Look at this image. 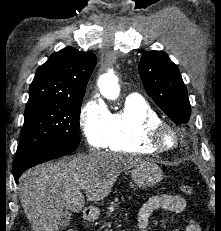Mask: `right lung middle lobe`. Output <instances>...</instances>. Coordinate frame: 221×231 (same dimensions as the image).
<instances>
[{"mask_svg":"<svg viewBox=\"0 0 221 231\" xmlns=\"http://www.w3.org/2000/svg\"><path fill=\"white\" fill-rule=\"evenodd\" d=\"M83 98L26 104L25 121L14 162L44 148H77Z\"/></svg>","mask_w":221,"mask_h":231,"instance_id":"dd1d6c3e","label":"right lung middle lobe"}]
</instances>
